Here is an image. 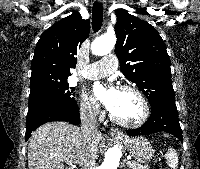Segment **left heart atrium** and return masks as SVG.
<instances>
[{
    "label": "left heart atrium",
    "mask_w": 200,
    "mask_h": 169,
    "mask_svg": "<svg viewBox=\"0 0 200 169\" xmlns=\"http://www.w3.org/2000/svg\"><path fill=\"white\" fill-rule=\"evenodd\" d=\"M119 91L112 85L97 84L94 87L95 97L111 112L117 101Z\"/></svg>",
    "instance_id": "1"
}]
</instances>
